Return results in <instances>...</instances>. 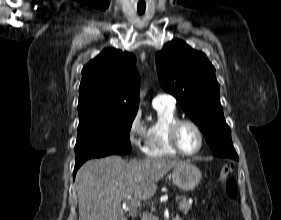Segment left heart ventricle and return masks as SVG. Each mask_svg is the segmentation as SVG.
<instances>
[{
	"mask_svg": "<svg viewBox=\"0 0 281 220\" xmlns=\"http://www.w3.org/2000/svg\"><path fill=\"white\" fill-rule=\"evenodd\" d=\"M178 140L181 148L186 152H193L199 146L198 133L190 125H183L179 129Z\"/></svg>",
	"mask_w": 281,
	"mask_h": 220,
	"instance_id": "left-heart-ventricle-1",
	"label": "left heart ventricle"
}]
</instances>
